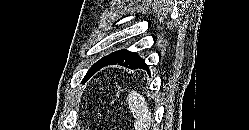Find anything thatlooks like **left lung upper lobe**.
<instances>
[{"mask_svg":"<svg viewBox=\"0 0 249 130\" xmlns=\"http://www.w3.org/2000/svg\"><path fill=\"white\" fill-rule=\"evenodd\" d=\"M122 50H118L114 53H111L103 58H101L99 61H97L87 72L85 77L82 80V83H85L107 60L117 56Z\"/></svg>","mask_w":249,"mask_h":130,"instance_id":"obj_1","label":"left lung upper lobe"}]
</instances>
